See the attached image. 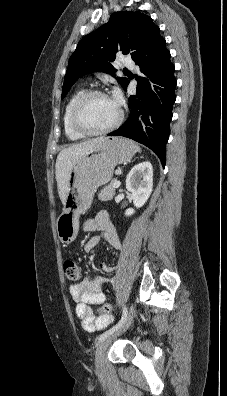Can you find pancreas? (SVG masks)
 <instances>
[{"label": "pancreas", "instance_id": "pancreas-1", "mask_svg": "<svg viewBox=\"0 0 227 396\" xmlns=\"http://www.w3.org/2000/svg\"><path fill=\"white\" fill-rule=\"evenodd\" d=\"M116 179H113L107 186L103 187L98 194V198L101 201H110L115 195V189L113 187Z\"/></svg>", "mask_w": 227, "mask_h": 396}]
</instances>
